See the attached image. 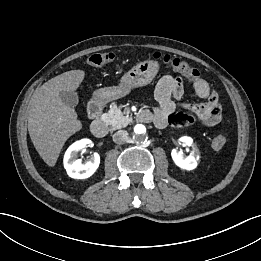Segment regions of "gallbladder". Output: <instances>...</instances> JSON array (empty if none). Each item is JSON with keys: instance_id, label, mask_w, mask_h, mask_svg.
Masks as SVG:
<instances>
[{"instance_id": "gallbladder-1", "label": "gallbladder", "mask_w": 261, "mask_h": 261, "mask_svg": "<svg viewBox=\"0 0 261 261\" xmlns=\"http://www.w3.org/2000/svg\"><path fill=\"white\" fill-rule=\"evenodd\" d=\"M60 98L65 105L70 106V107L77 106V104L79 102L78 95L74 91H61Z\"/></svg>"}]
</instances>
